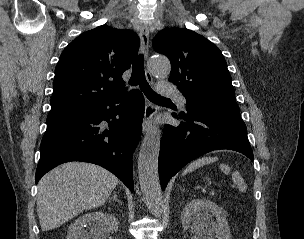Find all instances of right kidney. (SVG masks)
I'll return each mask as SVG.
<instances>
[{
    "label": "right kidney",
    "instance_id": "ca27d5eb",
    "mask_svg": "<svg viewBox=\"0 0 304 239\" xmlns=\"http://www.w3.org/2000/svg\"><path fill=\"white\" fill-rule=\"evenodd\" d=\"M91 225L87 233L84 227ZM118 229V222L114 215L95 211L86 213L76 219L70 226L66 239H106Z\"/></svg>",
    "mask_w": 304,
    "mask_h": 239
}]
</instances>
